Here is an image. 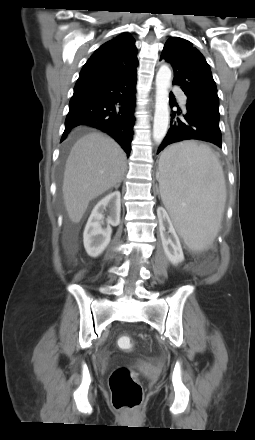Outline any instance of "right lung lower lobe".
Masks as SVG:
<instances>
[{
	"label": "right lung lower lobe",
	"instance_id": "98d812e1",
	"mask_svg": "<svg viewBox=\"0 0 255 440\" xmlns=\"http://www.w3.org/2000/svg\"><path fill=\"white\" fill-rule=\"evenodd\" d=\"M136 71L106 84L74 91L61 141L79 125L98 128L113 137L127 155L133 138Z\"/></svg>",
	"mask_w": 255,
	"mask_h": 440
}]
</instances>
